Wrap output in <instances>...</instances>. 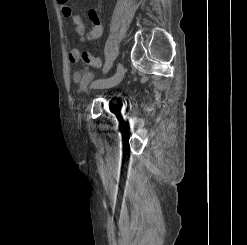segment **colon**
Listing matches in <instances>:
<instances>
[{"label":"colon","instance_id":"obj_1","mask_svg":"<svg viewBox=\"0 0 247 245\" xmlns=\"http://www.w3.org/2000/svg\"><path fill=\"white\" fill-rule=\"evenodd\" d=\"M73 22L76 25V30H77L78 35L82 39H84L86 37L85 36V27H84V24H83L81 17L79 15L73 16Z\"/></svg>","mask_w":247,"mask_h":245}]
</instances>
